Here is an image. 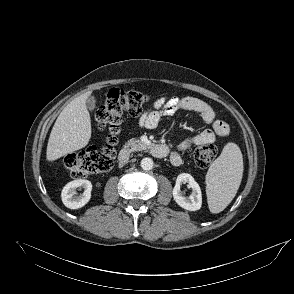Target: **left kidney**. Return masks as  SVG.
<instances>
[{
    "label": "left kidney",
    "mask_w": 294,
    "mask_h": 294,
    "mask_svg": "<svg viewBox=\"0 0 294 294\" xmlns=\"http://www.w3.org/2000/svg\"><path fill=\"white\" fill-rule=\"evenodd\" d=\"M181 183H188V186L192 189V193L189 197H185L180 190ZM173 198L175 202L185 210L196 211L201 208L202 194L199 184L194 178L187 173L178 175L176 185L173 189Z\"/></svg>",
    "instance_id": "left-kidney-1"
}]
</instances>
